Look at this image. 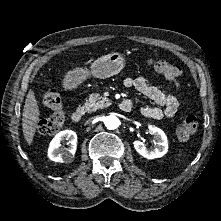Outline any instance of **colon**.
<instances>
[{"mask_svg":"<svg viewBox=\"0 0 221 221\" xmlns=\"http://www.w3.org/2000/svg\"><path fill=\"white\" fill-rule=\"evenodd\" d=\"M152 67L158 74L170 81L177 80L181 73L180 67L170 60L153 61ZM43 101L52 113L39 121L38 131L43 135H53L62 128L66 114L60 96L54 88L48 87L44 90ZM197 126V119L194 116H188L176 129V137L180 141L188 140L196 132Z\"/></svg>","mask_w":221,"mask_h":221,"instance_id":"colon-1","label":"colon"}]
</instances>
